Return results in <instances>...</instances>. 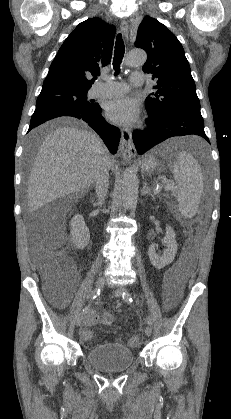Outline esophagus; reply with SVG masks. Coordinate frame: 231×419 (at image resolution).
<instances>
[{
	"instance_id": "1",
	"label": "esophagus",
	"mask_w": 231,
	"mask_h": 419,
	"mask_svg": "<svg viewBox=\"0 0 231 419\" xmlns=\"http://www.w3.org/2000/svg\"><path fill=\"white\" fill-rule=\"evenodd\" d=\"M120 30L125 38L128 37L129 28L127 21L123 20L120 24ZM120 155L124 159H131L136 156L137 151L132 140L130 129L123 128L121 130V141L119 146Z\"/></svg>"
}]
</instances>
